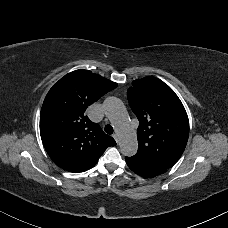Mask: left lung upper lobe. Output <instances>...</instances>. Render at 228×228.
<instances>
[{
    "mask_svg": "<svg viewBox=\"0 0 228 228\" xmlns=\"http://www.w3.org/2000/svg\"><path fill=\"white\" fill-rule=\"evenodd\" d=\"M127 91L139 120L138 152L134 157L166 168L173 166L187 144L189 121L175 92L153 76L137 79Z\"/></svg>",
    "mask_w": 228,
    "mask_h": 228,
    "instance_id": "obj_1",
    "label": "left lung upper lobe"
}]
</instances>
